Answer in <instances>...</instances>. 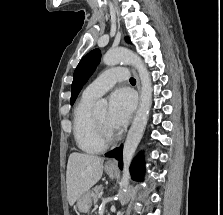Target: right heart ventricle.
Listing matches in <instances>:
<instances>
[{"label":"right heart ventricle","instance_id":"e07e8e85","mask_svg":"<svg viewBox=\"0 0 223 215\" xmlns=\"http://www.w3.org/2000/svg\"><path fill=\"white\" fill-rule=\"evenodd\" d=\"M94 98L83 94L74 108L72 133L77 147L88 154H97L105 150L96 139L93 113L90 105Z\"/></svg>","mask_w":223,"mask_h":215}]
</instances>
